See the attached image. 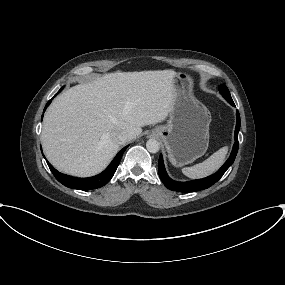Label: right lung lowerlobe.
<instances>
[{
    "label": "right lung lower lobe",
    "instance_id": "obj_1",
    "mask_svg": "<svg viewBox=\"0 0 285 285\" xmlns=\"http://www.w3.org/2000/svg\"><path fill=\"white\" fill-rule=\"evenodd\" d=\"M60 89L58 93L61 91ZM51 103V100L48 101L46 104L45 109L47 106ZM43 117V116H42ZM128 146L124 147L113 159V161L110 163V165L99 175L89 178H78V177H72L69 175L62 174L58 172L49 162H47L51 172L55 176V178L63 185H65L68 188L73 189H79V190H90V189H96L99 187L104 186L107 184L110 179L113 177L120 160L122 158V155L124 151L127 149Z\"/></svg>",
    "mask_w": 285,
    "mask_h": 285
}]
</instances>
